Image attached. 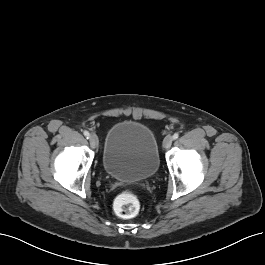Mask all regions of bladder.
Here are the masks:
<instances>
[{
  "mask_svg": "<svg viewBox=\"0 0 265 265\" xmlns=\"http://www.w3.org/2000/svg\"><path fill=\"white\" fill-rule=\"evenodd\" d=\"M160 164L153 130L144 123L122 120L114 123L105 137L103 168L118 180L146 181Z\"/></svg>",
  "mask_w": 265,
  "mask_h": 265,
  "instance_id": "bladder-1",
  "label": "bladder"
}]
</instances>
